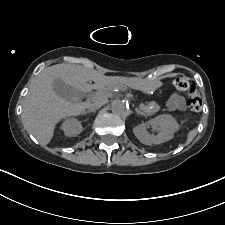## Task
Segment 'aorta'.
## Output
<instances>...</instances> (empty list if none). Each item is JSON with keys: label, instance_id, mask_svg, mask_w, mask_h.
Listing matches in <instances>:
<instances>
[{"label": "aorta", "instance_id": "762f6f07", "mask_svg": "<svg viewBox=\"0 0 225 225\" xmlns=\"http://www.w3.org/2000/svg\"><path fill=\"white\" fill-rule=\"evenodd\" d=\"M111 110L113 114L119 117H126L129 114V107L124 101L120 99L112 101Z\"/></svg>", "mask_w": 225, "mask_h": 225}]
</instances>
